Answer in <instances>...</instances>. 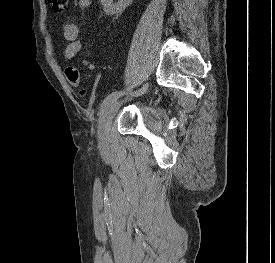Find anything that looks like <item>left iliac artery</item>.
<instances>
[{
    "instance_id": "obj_1",
    "label": "left iliac artery",
    "mask_w": 275,
    "mask_h": 263,
    "mask_svg": "<svg viewBox=\"0 0 275 263\" xmlns=\"http://www.w3.org/2000/svg\"><path fill=\"white\" fill-rule=\"evenodd\" d=\"M148 85L145 84L141 89L135 92L136 95L143 94L147 90ZM122 91H115L109 94L101 104V114L103 115L104 112L109 108V106L116 101L121 95Z\"/></svg>"
}]
</instances>
